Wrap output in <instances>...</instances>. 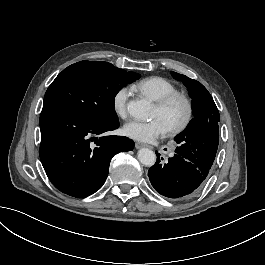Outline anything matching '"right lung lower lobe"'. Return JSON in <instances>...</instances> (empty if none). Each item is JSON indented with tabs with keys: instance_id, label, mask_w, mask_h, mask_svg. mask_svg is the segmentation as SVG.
Segmentation results:
<instances>
[{
	"instance_id": "98d812e1",
	"label": "right lung lower lobe",
	"mask_w": 265,
	"mask_h": 265,
	"mask_svg": "<svg viewBox=\"0 0 265 265\" xmlns=\"http://www.w3.org/2000/svg\"><path fill=\"white\" fill-rule=\"evenodd\" d=\"M39 123L43 168L58 190L73 197L84 198L99 190L112 157L134 147L127 137H100L117 129L118 123L93 124L56 108H43Z\"/></svg>"
}]
</instances>
